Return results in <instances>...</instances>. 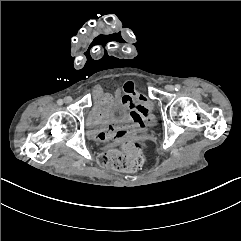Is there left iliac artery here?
<instances>
[{"label":"left iliac artery","instance_id":"left-iliac-artery-1","mask_svg":"<svg viewBox=\"0 0 241 241\" xmlns=\"http://www.w3.org/2000/svg\"><path fill=\"white\" fill-rule=\"evenodd\" d=\"M180 89H181V86H180L179 84H176V85H175V90H176V91H179Z\"/></svg>","mask_w":241,"mask_h":241}]
</instances>
